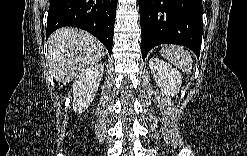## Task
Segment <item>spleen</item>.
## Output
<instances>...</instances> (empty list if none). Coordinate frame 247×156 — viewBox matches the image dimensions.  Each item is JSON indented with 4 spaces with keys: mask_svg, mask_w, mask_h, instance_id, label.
<instances>
[{
    "mask_svg": "<svg viewBox=\"0 0 247 156\" xmlns=\"http://www.w3.org/2000/svg\"><path fill=\"white\" fill-rule=\"evenodd\" d=\"M161 55L186 74L191 73L192 57L187 50L179 45H165L160 51Z\"/></svg>",
    "mask_w": 247,
    "mask_h": 156,
    "instance_id": "1",
    "label": "spleen"
}]
</instances>
